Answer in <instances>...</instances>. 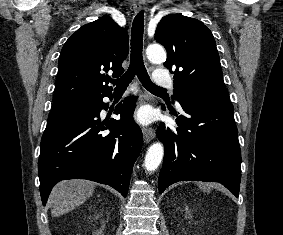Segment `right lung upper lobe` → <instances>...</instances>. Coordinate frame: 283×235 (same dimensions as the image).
Segmentation results:
<instances>
[{"instance_id":"obj_1","label":"right lung upper lobe","mask_w":283,"mask_h":235,"mask_svg":"<svg viewBox=\"0 0 283 235\" xmlns=\"http://www.w3.org/2000/svg\"><path fill=\"white\" fill-rule=\"evenodd\" d=\"M128 51L126 29L109 16L79 28L62 48L53 103L110 94V77L103 72L120 76Z\"/></svg>"}]
</instances>
